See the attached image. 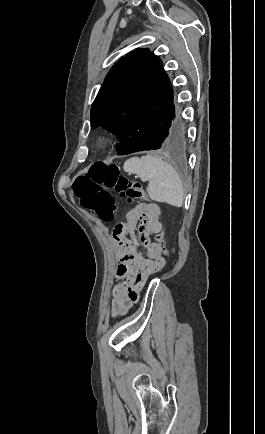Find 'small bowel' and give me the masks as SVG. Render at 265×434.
I'll list each match as a JSON object with an SVG mask.
<instances>
[{
  "label": "small bowel",
  "mask_w": 265,
  "mask_h": 434,
  "mask_svg": "<svg viewBox=\"0 0 265 434\" xmlns=\"http://www.w3.org/2000/svg\"><path fill=\"white\" fill-rule=\"evenodd\" d=\"M160 214V208L156 203H141L127 212L123 222L130 234L119 238L113 236L119 247V263L115 270V278L119 283L111 289L110 314L112 318L126 315L137 303L139 291L148 277L147 274L156 275L159 272L156 266H146L158 264L163 268L165 265V259L159 246L151 239L152 235L162 231ZM136 231L139 234L143 253L135 249L134 234Z\"/></svg>",
  "instance_id": "small-bowel-1"
}]
</instances>
